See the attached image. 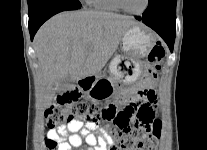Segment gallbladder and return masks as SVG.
Instances as JSON below:
<instances>
[{
	"mask_svg": "<svg viewBox=\"0 0 207 150\" xmlns=\"http://www.w3.org/2000/svg\"><path fill=\"white\" fill-rule=\"evenodd\" d=\"M74 80L71 76H66L65 78H63L60 83H59V86H58V90H57V93H62L68 89H71L73 84H74Z\"/></svg>",
	"mask_w": 207,
	"mask_h": 150,
	"instance_id": "bac80fb5",
	"label": "gallbladder"
}]
</instances>
